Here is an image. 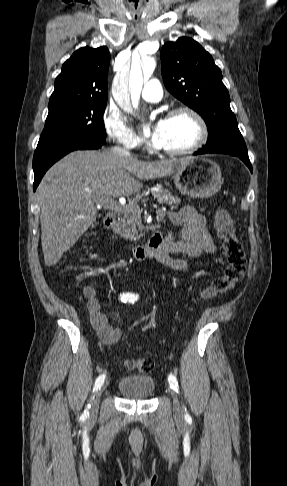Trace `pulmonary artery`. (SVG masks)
Listing matches in <instances>:
<instances>
[{
	"label": "pulmonary artery",
	"mask_w": 287,
	"mask_h": 486,
	"mask_svg": "<svg viewBox=\"0 0 287 486\" xmlns=\"http://www.w3.org/2000/svg\"><path fill=\"white\" fill-rule=\"evenodd\" d=\"M142 98L146 101L157 102L162 98V88L158 80L148 81L142 90Z\"/></svg>",
	"instance_id": "1"
}]
</instances>
